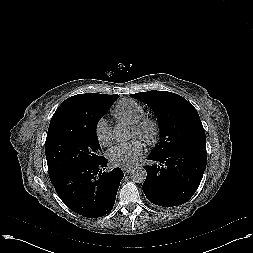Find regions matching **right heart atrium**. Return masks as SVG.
<instances>
[{
    "instance_id": "d8ad5b80",
    "label": "right heart atrium",
    "mask_w": 253,
    "mask_h": 253,
    "mask_svg": "<svg viewBox=\"0 0 253 253\" xmlns=\"http://www.w3.org/2000/svg\"><path fill=\"white\" fill-rule=\"evenodd\" d=\"M96 138L98 142L107 146L112 141V128L105 118H100L95 127Z\"/></svg>"
}]
</instances>
